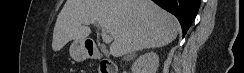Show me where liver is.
<instances>
[{
	"label": "liver",
	"instance_id": "1",
	"mask_svg": "<svg viewBox=\"0 0 244 73\" xmlns=\"http://www.w3.org/2000/svg\"><path fill=\"white\" fill-rule=\"evenodd\" d=\"M96 22L113 38L110 54L120 57L174 41L178 20L151 0H67L56 20L52 49L60 51L69 41H85Z\"/></svg>",
	"mask_w": 244,
	"mask_h": 73
}]
</instances>
